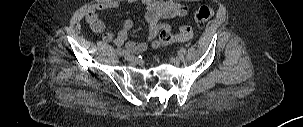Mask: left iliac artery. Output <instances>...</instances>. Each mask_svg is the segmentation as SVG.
<instances>
[{
    "label": "left iliac artery",
    "mask_w": 303,
    "mask_h": 127,
    "mask_svg": "<svg viewBox=\"0 0 303 127\" xmlns=\"http://www.w3.org/2000/svg\"><path fill=\"white\" fill-rule=\"evenodd\" d=\"M178 54L179 55H185L186 54V49L185 48H181L179 51H178Z\"/></svg>",
    "instance_id": "44dca946"
}]
</instances>
